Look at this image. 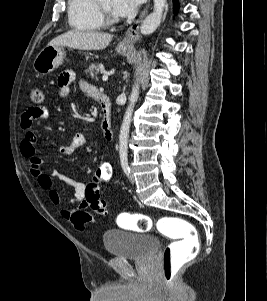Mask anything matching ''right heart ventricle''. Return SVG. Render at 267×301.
<instances>
[{
  "label": "right heart ventricle",
  "instance_id": "e07e8e85",
  "mask_svg": "<svg viewBox=\"0 0 267 301\" xmlns=\"http://www.w3.org/2000/svg\"><path fill=\"white\" fill-rule=\"evenodd\" d=\"M68 19L72 28L91 32L103 28L96 0H68Z\"/></svg>",
  "mask_w": 267,
  "mask_h": 301
}]
</instances>
